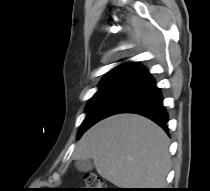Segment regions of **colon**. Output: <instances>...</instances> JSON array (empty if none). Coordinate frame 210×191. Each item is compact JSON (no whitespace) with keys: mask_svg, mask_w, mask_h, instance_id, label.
I'll use <instances>...</instances> for the list:
<instances>
[{"mask_svg":"<svg viewBox=\"0 0 210 191\" xmlns=\"http://www.w3.org/2000/svg\"><path fill=\"white\" fill-rule=\"evenodd\" d=\"M84 181L85 188H83L81 191H111L104 179L96 174H85Z\"/></svg>","mask_w":210,"mask_h":191,"instance_id":"obj_1","label":"colon"}]
</instances>
